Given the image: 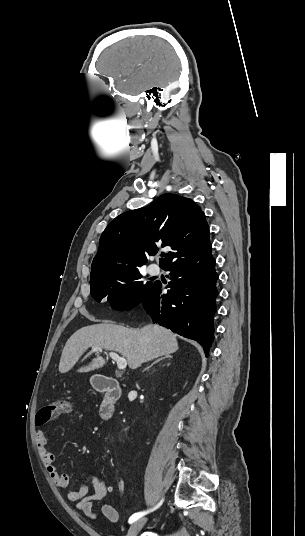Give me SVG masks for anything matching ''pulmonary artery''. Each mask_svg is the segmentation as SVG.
<instances>
[{
    "mask_svg": "<svg viewBox=\"0 0 305 536\" xmlns=\"http://www.w3.org/2000/svg\"><path fill=\"white\" fill-rule=\"evenodd\" d=\"M151 273L154 274V275H158L160 273V267L157 266V265H153L151 266V269H150Z\"/></svg>",
    "mask_w": 305,
    "mask_h": 536,
    "instance_id": "pulmonary-artery-1",
    "label": "pulmonary artery"
}]
</instances>
